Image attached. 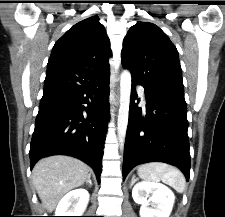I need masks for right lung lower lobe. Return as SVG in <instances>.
Returning <instances> with one entry per match:
<instances>
[{
    "label": "right lung lower lobe",
    "mask_w": 225,
    "mask_h": 217,
    "mask_svg": "<svg viewBox=\"0 0 225 217\" xmlns=\"http://www.w3.org/2000/svg\"><path fill=\"white\" fill-rule=\"evenodd\" d=\"M108 120L109 78L87 89L42 97L30 145L31 169L43 157L70 155L89 164L100 182Z\"/></svg>",
    "instance_id": "1"
}]
</instances>
